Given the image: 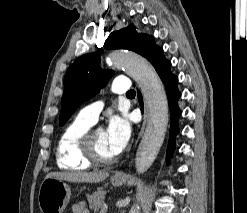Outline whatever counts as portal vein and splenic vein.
Here are the masks:
<instances>
[{
	"label": "portal vein and splenic vein",
	"mask_w": 247,
	"mask_h": 213,
	"mask_svg": "<svg viewBox=\"0 0 247 213\" xmlns=\"http://www.w3.org/2000/svg\"><path fill=\"white\" fill-rule=\"evenodd\" d=\"M107 212V206H103V209L101 210V213H106Z\"/></svg>",
	"instance_id": "portal-vein-and-splenic-vein-1"
}]
</instances>
